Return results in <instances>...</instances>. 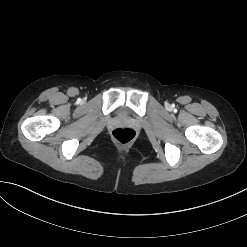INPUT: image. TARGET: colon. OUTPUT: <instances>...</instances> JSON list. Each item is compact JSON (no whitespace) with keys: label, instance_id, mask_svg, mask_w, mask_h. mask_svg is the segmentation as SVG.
Returning <instances> with one entry per match:
<instances>
[{"label":"colon","instance_id":"5ec220e1","mask_svg":"<svg viewBox=\"0 0 247 247\" xmlns=\"http://www.w3.org/2000/svg\"><path fill=\"white\" fill-rule=\"evenodd\" d=\"M112 136L117 142L128 144L135 139L136 132L132 128H116L113 130Z\"/></svg>","mask_w":247,"mask_h":247}]
</instances>
